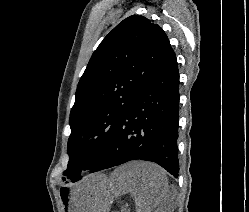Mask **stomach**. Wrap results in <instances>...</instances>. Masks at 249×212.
Returning a JSON list of instances; mask_svg holds the SVG:
<instances>
[{
  "label": "stomach",
  "mask_w": 249,
  "mask_h": 212,
  "mask_svg": "<svg viewBox=\"0 0 249 212\" xmlns=\"http://www.w3.org/2000/svg\"><path fill=\"white\" fill-rule=\"evenodd\" d=\"M111 184H116V179H105L104 175H97L89 180H83L80 184H73L71 188L65 186L61 190L63 206L67 212L113 210V205H107L111 198L117 197Z\"/></svg>",
  "instance_id": "obj_1"
}]
</instances>
